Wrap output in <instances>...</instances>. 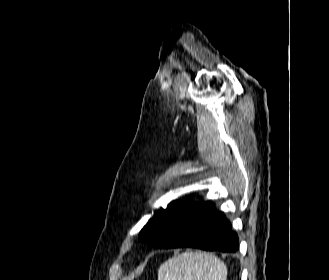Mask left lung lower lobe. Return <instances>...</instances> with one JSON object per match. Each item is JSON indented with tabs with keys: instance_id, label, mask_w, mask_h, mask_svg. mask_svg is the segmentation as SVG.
Wrapping results in <instances>:
<instances>
[{
	"instance_id": "1",
	"label": "left lung lower lobe",
	"mask_w": 329,
	"mask_h": 280,
	"mask_svg": "<svg viewBox=\"0 0 329 280\" xmlns=\"http://www.w3.org/2000/svg\"><path fill=\"white\" fill-rule=\"evenodd\" d=\"M161 233L169 237L163 248L194 247L222 252L239 249L238 236L229 221L210 202L172 205Z\"/></svg>"
}]
</instances>
